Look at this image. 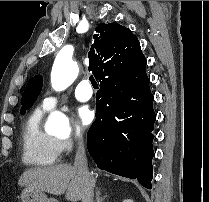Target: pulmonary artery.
<instances>
[{
  "instance_id": "1",
  "label": "pulmonary artery",
  "mask_w": 209,
  "mask_h": 202,
  "mask_svg": "<svg viewBox=\"0 0 209 202\" xmlns=\"http://www.w3.org/2000/svg\"><path fill=\"white\" fill-rule=\"evenodd\" d=\"M93 95V89L86 80L81 81L75 88V97L78 101L86 102ZM59 104L58 95H50L42 100L41 107L44 110H52Z\"/></svg>"
}]
</instances>
